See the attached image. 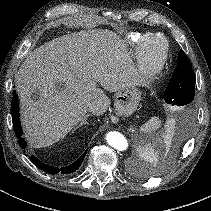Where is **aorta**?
<instances>
[{
    "label": "aorta",
    "mask_w": 211,
    "mask_h": 211,
    "mask_svg": "<svg viewBox=\"0 0 211 211\" xmlns=\"http://www.w3.org/2000/svg\"><path fill=\"white\" fill-rule=\"evenodd\" d=\"M108 144L118 151H125L128 148L127 139L117 131H110L106 134Z\"/></svg>",
    "instance_id": "762f6f07"
}]
</instances>
